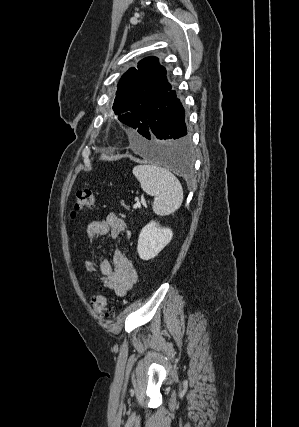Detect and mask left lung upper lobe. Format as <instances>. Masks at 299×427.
Masks as SVG:
<instances>
[{
    "label": "left lung upper lobe",
    "instance_id": "left-lung-upper-lobe-1",
    "mask_svg": "<svg viewBox=\"0 0 299 427\" xmlns=\"http://www.w3.org/2000/svg\"><path fill=\"white\" fill-rule=\"evenodd\" d=\"M171 89L165 68L156 57H147L138 63V69L130 68L120 79L113 110L121 122L132 127L139 109L163 101Z\"/></svg>",
    "mask_w": 299,
    "mask_h": 427
}]
</instances>
